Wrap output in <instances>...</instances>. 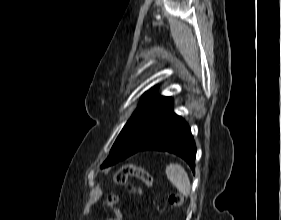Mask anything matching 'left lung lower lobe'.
<instances>
[{
	"instance_id": "obj_1",
	"label": "left lung lower lobe",
	"mask_w": 281,
	"mask_h": 220,
	"mask_svg": "<svg viewBox=\"0 0 281 220\" xmlns=\"http://www.w3.org/2000/svg\"><path fill=\"white\" fill-rule=\"evenodd\" d=\"M169 152L184 159L195 171L196 145L186 121L171 109L151 139L139 150Z\"/></svg>"
}]
</instances>
